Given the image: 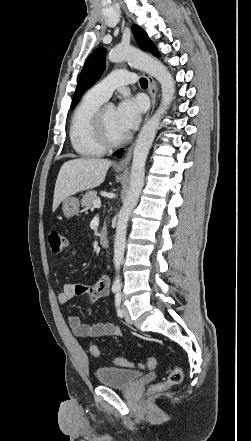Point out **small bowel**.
I'll use <instances>...</instances> for the list:
<instances>
[{
  "label": "small bowel",
  "instance_id": "1",
  "mask_svg": "<svg viewBox=\"0 0 251 441\" xmlns=\"http://www.w3.org/2000/svg\"><path fill=\"white\" fill-rule=\"evenodd\" d=\"M76 254V251H73ZM110 279L101 276L94 284L68 283L58 292L57 300L60 304L69 303L76 296H84L89 303H93L109 295ZM68 325L72 333L77 337H100V336H120V328L110 322H98L95 324L82 323L76 315H69Z\"/></svg>",
  "mask_w": 251,
  "mask_h": 441
}]
</instances>
